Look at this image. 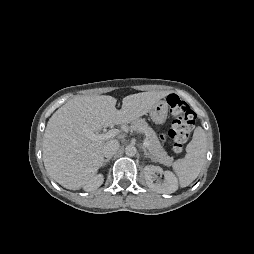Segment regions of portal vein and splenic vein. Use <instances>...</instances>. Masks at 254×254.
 <instances>
[{
	"label": "portal vein and splenic vein",
	"instance_id": "obj_1",
	"mask_svg": "<svg viewBox=\"0 0 254 254\" xmlns=\"http://www.w3.org/2000/svg\"><path fill=\"white\" fill-rule=\"evenodd\" d=\"M120 133L119 129H111L106 133H102V134H89V138L93 141H104V140H108L110 138H113L115 136H117ZM144 146L148 147L149 146V142L146 139H144Z\"/></svg>",
	"mask_w": 254,
	"mask_h": 254
}]
</instances>
